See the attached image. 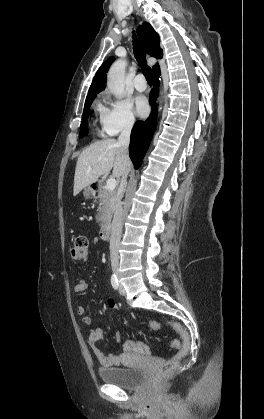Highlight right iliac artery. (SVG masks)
Segmentation results:
<instances>
[{
  "label": "right iliac artery",
  "mask_w": 264,
  "mask_h": 419,
  "mask_svg": "<svg viewBox=\"0 0 264 419\" xmlns=\"http://www.w3.org/2000/svg\"><path fill=\"white\" fill-rule=\"evenodd\" d=\"M111 284H112V287H113L115 290H117V289H118L119 284H118V279H117V277H116V275H115V274H113V275L111 276Z\"/></svg>",
  "instance_id": "82829eb1"
}]
</instances>
